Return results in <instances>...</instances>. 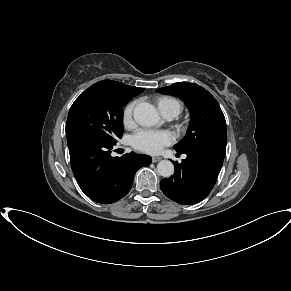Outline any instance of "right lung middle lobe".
<instances>
[{
    "label": "right lung middle lobe",
    "mask_w": 291,
    "mask_h": 291,
    "mask_svg": "<svg viewBox=\"0 0 291 291\" xmlns=\"http://www.w3.org/2000/svg\"><path fill=\"white\" fill-rule=\"evenodd\" d=\"M132 97L94 84L72 104L66 133H85L116 144L123 133V109Z\"/></svg>",
    "instance_id": "1"
}]
</instances>
